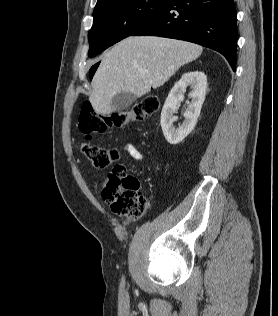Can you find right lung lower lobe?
I'll return each mask as SVG.
<instances>
[{"label": "right lung lower lobe", "mask_w": 278, "mask_h": 316, "mask_svg": "<svg viewBox=\"0 0 278 316\" xmlns=\"http://www.w3.org/2000/svg\"><path fill=\"white\" fill-rule=\"evenodd\" d=\"M233 0H165L132 36L186 40L221 53L236 69L237 24Z\"/></svg>", "instance_id": "right-lung-lower-lobe-1"}]
</instances>
